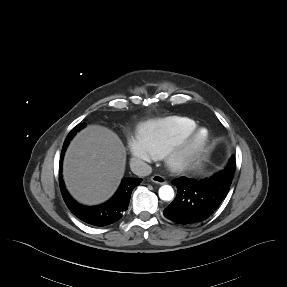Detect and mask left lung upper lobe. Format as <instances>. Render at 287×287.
<instances>
[{
  "instance_id": "obj_1",
  "label": "left lung upper lobe",
  "mask_w": 287,
  "mask_h": 287,
  "mask_svg": "<svg viewBox=\"0 0 287 287\" xmlns=\"http://www.w3.org/2000/svg\"><path fill=\"white\" fill-rule=\"evenodd\" d=\"M234 166H235V158L234 156L231 157V160L229 161L227 168H231L234 171Z\"/></svg>"
}]
</instances>
